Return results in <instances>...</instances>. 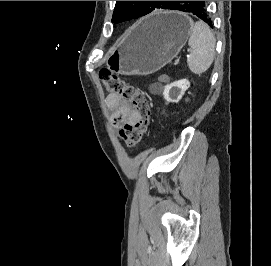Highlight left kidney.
I'll list each match as a JSON object with an SVG mask.
<instances>
[{
    "label": "left kidney",
    "instance_id": "5707ae66",
    "mask_svg": "<svg viewBox=\"0 0 271 266\" xmlns=\"http://www.w3.org/2000/svg\"><path fill=\"white\" fill-rule=\"evenodd\" d=\"M188 89V84L184 81V80H179L176 82H173L171 84H169L165 90H164V98L168 101V102H178L182 95L184 94V92ZM177 90H180L179 94L175 97V96H170V91H172L173 93H175Z\"/></svg>",
    "mask_w": 271,
    "mask_h": 266
}]
</instances>
